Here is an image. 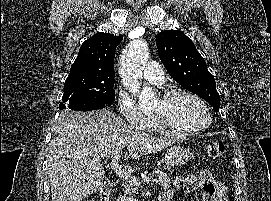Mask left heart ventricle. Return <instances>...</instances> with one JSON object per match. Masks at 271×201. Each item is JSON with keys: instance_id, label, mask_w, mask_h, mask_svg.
Returning <instances> with one entry per match:
<instances>
[{"instance_id": "obj_1", "label": "left heart ventricle", "mask_w": 271, "mask_h": 201, "mask_svg": "<svg viewBox=\"0 0 271 201\" xmlns=\"http://www.w3.org/2000/svg\"><path fill=\"white\" fill-rule=\"evenodd\" d=\"M153 113L179 130H194L206 124L208 117L204 108L188 97L171 100L158 99L153 104Z\"/></svg>"}]
</instances>
